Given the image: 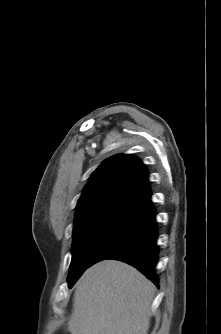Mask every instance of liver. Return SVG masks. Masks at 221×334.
I'll return each instance as SVG.
<instances>
[{
    "label": "liver",
    "mask_w": 221,
    "mask_h": 334,
    "mask_svg": "<svg viewBox=\"0 0 221 334\" xmlns=\"http://www.w3.org/2000/svg\"><path fill=\"white\" fill-rule=\"evenodd\" d=\"M155 286L134 267L104 260L77 282L71 334H147Z\"/></svg>",
    "instance_id": "6515ba94"
}]
</instances>
